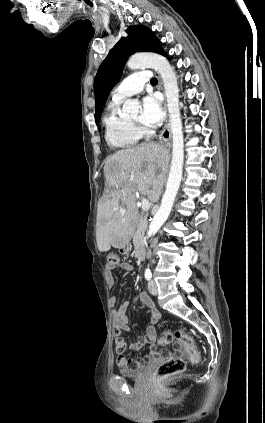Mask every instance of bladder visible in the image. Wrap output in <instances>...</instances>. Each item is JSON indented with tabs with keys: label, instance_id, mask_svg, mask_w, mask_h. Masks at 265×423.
I'll list each match as a JSON object with an SVG mask.
<instances>
[{
	"label": "bladder",
	"instance_id": "bladder-1",
	"mask_svg": "<svg viewBox=\"0 0 265 423\" xmlns=\"http://www.w3.org/2000/svg\"><path fill=\"white\" fill-rule=\"evenodd\" d=\"M148 366H143L140 368H121L119 373L123 377L127 378H140L144 375Z\"/></svg>",
	"mask_w": 265,
	"mask_h": 423
}]
</instances>
